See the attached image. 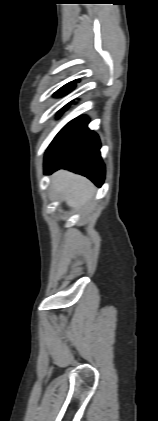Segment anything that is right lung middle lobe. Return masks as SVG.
<instances>
[{
  "instance_id": "right-lung-middle-lobe-1",
  "label": "right lung middle lobe",
  "mask_w": 158,
  "mask_h": 421,
  "mask_svg": "<svg viewBox=\"0 0 158 421\" xmlns=\"http://www.w3.org/2000/svg\"><path fill=\"white\" fill-rule=\"evenodd\" d=\"M75 86H63L56 93L55 96H62L70 92Z\"/></svg>"
}]
</instances>
